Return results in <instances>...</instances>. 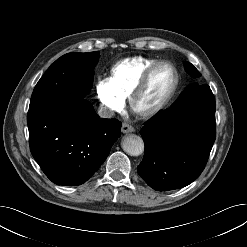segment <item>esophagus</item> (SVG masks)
Returning a JSON list of instances; mask_svg holds the SVG:
<instances>
[{"label": "esophagus", "mask_w": 247, "mask_h": 247, "mask_svg": "<svg viewBox=\"0 0 247 247\" xmlns=\"http://www.w3.org/2000/svg\"><path fill=\"white\" fill-rule=\"evenodd\" d=\"M121 131L123 133H131V132H134V128L127 123H123L121 127Z\"/></svg>", "instance_id": "obj_1"}]
</instances>
